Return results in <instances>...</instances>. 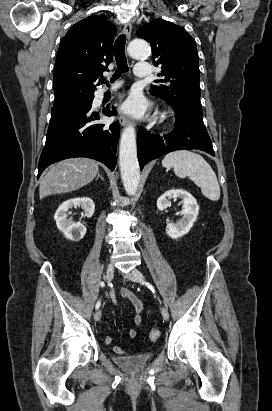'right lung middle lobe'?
Instances as JSON below:
<instances>
[{
    "instance_id": "right-lung-middle-lobe-1",
    "label": "right lung middle lobe",
    "mask_w": 272,
    "mask_h": 411,
    "mask_svg": "<svg viewBox=\"0 0 272 411\" xmlns=\"http://www.w3.org/2000/svg\"><path fill=\"white\" fill-rule=\"evenodd\" d=\"M93 97H94L93 94L77 93L72 98H70V99H68L64 102L54 104V106L51 110V115L57 114V113H60V112H64V111L69 110L73 107H76L78 105L89 102L93 99Z\"/></svg>"
}]
</instances>
